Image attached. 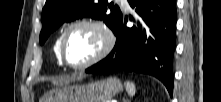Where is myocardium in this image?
I'll use <instances>...</instances> for the list:
<instances>
[{
	"mask_svg": "<svg viewBox=\"0 0 221 102\" xmlns=\"http://www.w3.org/2000/svg\"><path fill=\"white\" fill-rule=\"evenodd\" d=\"M79 26H87L96 30L101 37V46L98 52L88 61L82 64L74 65V64L69 63L66 59L65 42H66V38L69 32L73 28L79 27ZM114 45H115L114 32L112 31V29L106 22L100 19H96V18H89V17L80 18L68 24L67 27L62 32L60 43H59L60 61L63 65L71 69H75V70L87 69L95 65L96 63L100 62L101 60H103L111 52Z\"/></svg>",
	"mask_w": 221,
	"mask_h": 102,
	"instance_id": "1",
	"label": "myocardium"
}]
</instances>
